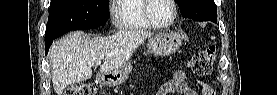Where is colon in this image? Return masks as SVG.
I'll list each match as a JSON object with an SVG mask.
<instances>
[{
    "mask_svg": "<svg viewBox=\"0 0 277 95\" xmlns=\"http://www.w3.org/2000/svg\"><path fill=\"white\" fill-rule=\"evenodd\" d=\"M215 37H212L214 39ZM216 57V47L214 44L205 50L195 53L188 60L190 70L197 76H206L211 73ZM99 87L94 83H75L70 86L66 95H96Z\"/></svg>",
    "mask_w": 277,
    "mask_h": 95,
    "instance_id": "1",
    "label": "colon"
}]
</instances>
